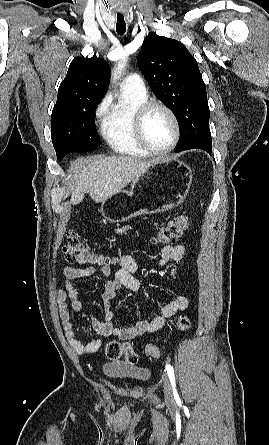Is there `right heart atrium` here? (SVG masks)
Instances as JSON below:
<instances>
[{"label":"right heart atrium","mask_w":269,"mask_h":445,"mask_svg":"<svg viewBox=\"0 0 269 445\" xmlns=\"http://www.w3.org/2000/svg\"><path fill=\"white\" fill-rule=\"evenodd\" d=\"M108 104H109V100L107 97L103 98L99 104L97 105L96 109H95V116L96 117H102L105 115V113L108 110Z\"/></svg>","instance_id":"obj_1"}]
</instances>
